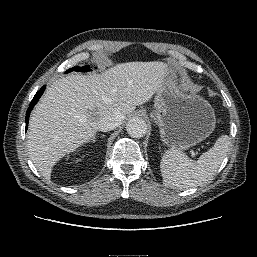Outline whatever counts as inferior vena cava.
Instances as JSON below:
<instances>
[{
	"mask_svg": "<svg viewBox=\"0 0 257 257\" xmlns=\"http://www.w3.org/2000/svg\"><path fill=\"white\" fill-rule=\"evenodd\" d=\"M124 116L121 112L114 110L101 117L98 122V129L101 131H110L118 127Z\"/></svg>",
	"mask_w": 257,
	"mask_h": 257,
	"instance_id": "1",
	"label": "inferior vena cava"
}]
</instances>
